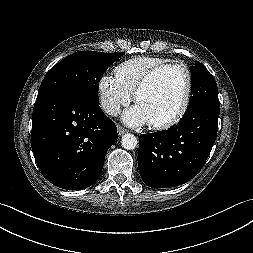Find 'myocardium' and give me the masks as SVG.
I'll list each match as a JSON object with an SVG mask.
<instances>
[{
    "label": "myocardium",
    "mask_w": 253,
    "mask_h": 253,
    "mask_svg": "<svg viewBox=\"0 0 253 253\" xmlns=\"http://www.w3.org/2000/svg\"><path fill=\"white\" fill-rule=\"evenodd\" d=\"M176 68L181 70L184 73L185 76V91L183 95V100L181 103V106L179 110L170 118L158 121V122H150V126L154 129H168L172 126L179 123L184 116L186 115L190 100H191V94H192V87H193V78L192 73L189 67L183 63V62H168L165 64L158 65L152 69H150L140 80L138 85L136 86L134 93H133V99L134 102L137 101L140 94L149 86V84L154 80V78L160 74L161 72Z\"/></svg>",
    "instance_id": "1"
}]
</instances>
